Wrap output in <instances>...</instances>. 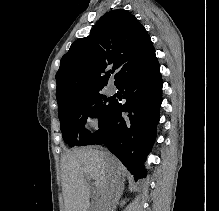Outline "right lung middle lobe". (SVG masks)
I'll return each mask as SVG.
<instances>
[{
    "mask_svg": "<svg viewBox=\"0 0 219 211\" xmlns=\"http://www.w3.org/2000/svg\"><path fill=\"white\" fill-rule=\"evenodd\" d=\"M114 100L96 93L58 105V117L64 141L69 146H85L91 133L85 128L86 120L97 117L99 124L106 120Z\"/></svg>",
    "mask_w": 219,
    "mask_h": 211,
    "instance_id": "obj_1",
    "label": "right lung middle lobe"
}]
</instances>
